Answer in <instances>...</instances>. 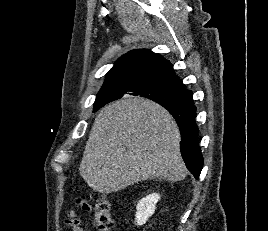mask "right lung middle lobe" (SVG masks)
<instances>
[{
  "instance_id": "obj_1",
  "label": "right lung middle lobe",
  "mask_w": 268,
  "mask_h": 231,
  "mask_svg": "<svg viewBox=\"0 0 268 231\" xmlns=\"http://www.w3.org/2000/svg\"><path fill=\"white\" fill-rule=\"evenodd\" d=\"M127 91L132 92L131 95H140L156 102L167 101L174 105L181 106H187L193 103L192 92L182 91L167 84L149 81L135 85L130 89L120 87L106 88L101 93L99 101H95L94 111L105 105L101 104L100 101L107 100L116 95L124 94Z\"/></svg>"
}]
</instances>
